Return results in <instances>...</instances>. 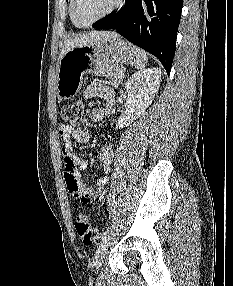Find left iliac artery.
Instances as JSON below:
<instances>
[{"mask_svg":"<svg viewBox=\"0 0 233 286\" xmlns=\"http://www.w3.org/2000/svg\"><path fill=\"white\" fill-rule=\"evenodd\" d=\"M109 233H110V227H108V228L103 232V234H102V236H101V240L104 241V240L107 238V236H108Z\"/></svg>","mask_w":233,"mask_h":286,"instance_id":"left-iliac-artery-1","label":"left iliac artery"}]
</instances>
